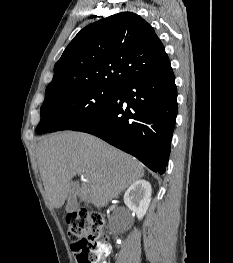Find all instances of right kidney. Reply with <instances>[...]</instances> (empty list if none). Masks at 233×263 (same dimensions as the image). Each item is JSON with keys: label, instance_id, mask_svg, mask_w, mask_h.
Returning <instances> with one entry per match:
<instances>
[{"label": "right kidney", "instance_id": "1", "mask_svg": "<svg viewBox=\"0 0 233 263\" xmlns=\"http://www.w3.org/2000/svg\"><path fill=\"white\" fill-rule=\"evenodd\" d=\"M152 188L146 180H137L124 194V203L134 213L139 220L146 214L151 202Z\"/></svg>", "mask_w": 233, "mask_h": 263}]
</instances>
